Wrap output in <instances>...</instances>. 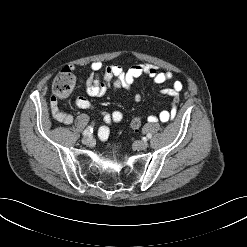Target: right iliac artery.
<instances>
[{
    "instance_id": "right-iliac-artery-1",
    "label": "right iliac artery",
    "mask_w": 247,
    "mask_h": 247,
    "mask_svg": "<svg viewBox=\"0 0 247 247\" xmlns=\"http://www.w3.org/2000/svg\"><path fill=\"white\" fill-rule=\"evenodd\" d=\"M92 132H93V128H92L91 126H88V127L84 130L83 136H84V137H85V136H88V135H90Z\"/></svg>"
}]
</instances>
